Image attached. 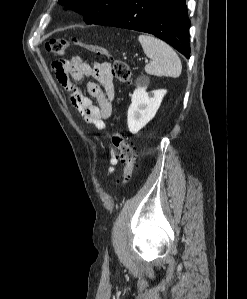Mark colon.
<instances>
[{
  "instance_id": "obj_1",
  "label": "colon",
  "mask_w": 247,
  "mask_h": 299,
  "mask_svg": "<svg viewBox=\"0 0 247 299\" xmlns=\"http://www.w3.org/2000/svg\"><path fill=\"white\" fill-rule=\"evenodd\" d=\"M70 45L85 48L97 56H110L108 50L100 45L80 41H69L65 38H51L46 42L45 47L46 50L52 54L63 55ZM110 74L112 78H115L123 84L129 83L131 79L129 65L120 59L113 60ZM111 139L114 146L119 150V157L124 164L122 184H126L135 170L136 154L132 144L121 130H114Z\"/></svg>"
}]
</instances>
